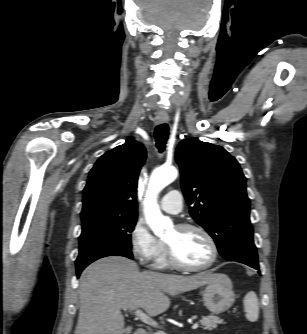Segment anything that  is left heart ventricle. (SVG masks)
<instances>
[{"mask_svg": "<svg viewBox=\"0 0 307 334\" xmlns=\"http://www.w3.org/2000/svg\"><path fill=\"white\" fill-rule=\"evenodd\" d=\"M164 241L171 246L178 259L187 265H202L211 257L209 243L196 230H180L174 227Z\"/></svg>", "mask_w": 307, "mask_h": 334, "instance_id": "b2bd125f", "label": "left heart ventricle"}]
</instances>
